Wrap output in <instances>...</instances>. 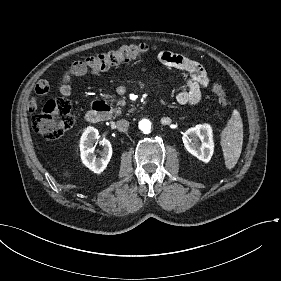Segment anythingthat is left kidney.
<instances>
[{
    "instance_id": "1",
    "label": "left kidney",
    "mask_w": 281,
    "mask_h": 281,
    "mask_svg": "<svg viewBox=\"0 0 281 281\" xmlns=\"http://www.w3.org/2000/svg\"><path fill=\"white\" fill-rule=\"evenodd\" d=\"M185 148L199 160L207 163L213 154V142L209 125H197L183 134Z\"/></svg>"
}]
</instances>
